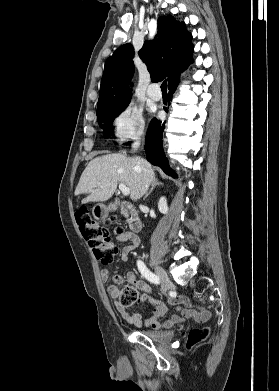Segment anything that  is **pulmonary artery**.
Instances as JSON below:
<instances>
[{
	"instance_id": "obj_1",
	"label": "pulmonary artery",
	"mask_w": 279,
	"mask_h": 391,
	"mask_svg": "<svg viewBox=\"0 0 279 391\" xmlns=\"http://www.w3.org/2000/svg\"><path fill=\"white\" fill-rule=\"evenodd\" d=\"M147 94L154 101H159L162 98V94L156 84H151L148 87Z\"/></svg>"
}]
</instances>
